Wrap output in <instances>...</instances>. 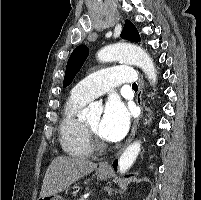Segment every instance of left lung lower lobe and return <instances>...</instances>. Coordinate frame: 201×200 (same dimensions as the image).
Returning <instances> with one entry per match:
<instances>
[{
	"label": "left lung lower lobe",
	"instance_id": "obj_1",
	"mask_svg": "<svg viewBox=\"0 0 201 200\" xmlns=\"http://www.w3.org/2000/svg\"><path fill=\"white\" fill-rule=\"evenodd\" d=\"M117 165H118V160H115L113 162V167H114L115 170H117Z\"/></svg>",
	"mask_w": 201,
	"mask_h": 200
}]
</instances>
